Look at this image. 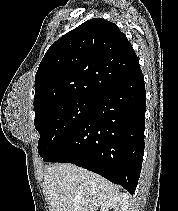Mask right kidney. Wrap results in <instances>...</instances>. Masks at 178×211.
<instances>
[{
  "mask_svg": "<svg viewBox=\"0 0 178 211\" xmlns=\"http://www.w3.org/2000/svg\"><path fill=\"white\" fill-rule=\"evenodd\" d=\"M129 205V195L127 193H118L108 199L101 205L100 211H109L111 208L114 211H127Z\"/></svg>",
  "mask_w": 178,
  "mask_h": 211,
  "instance_id": "right-kidney-1",
  "label": "right kidney"
}]
</instances>
